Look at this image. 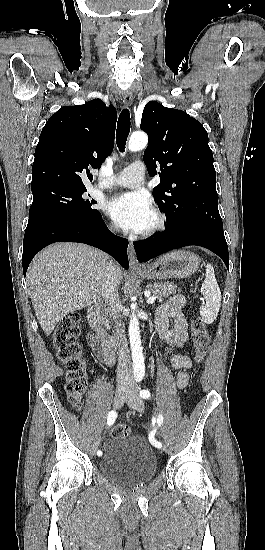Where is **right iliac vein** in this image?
Masks as SVG:
<instances>
[{"label":"right iliac vein","mask_w":265,"mask_h":550,"mask_svg":"<svg viewBox=\"0 0 265 550\" xmlns=\"http://www.w3.org/2000/svg\"><path fill=\"white\" fill-rule=\"evenodd\" d=\"M128 394V390L124 386H118L114 395V407L120 408Z\"/></svg>","instance_id":"63e3f726"}]
</instances>
